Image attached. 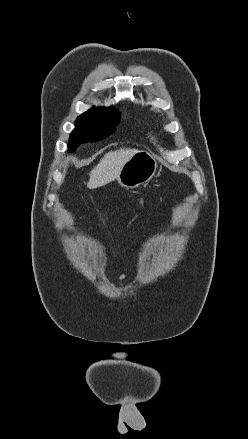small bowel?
Segmentation results:
<instances>
[{"label": "small bowel", "instance_id": "c3829d8e", "mask_svg": "<svg viewBox=\"0 0 248 439\" xmlns=\"http://www.w3.org/2000/svg\"><path fill=\"white\" fill-rule=\"evenodd\" d=\"M126 278H127V275L123 273V274H121V275L119 276L118 281H119V282H122V281H124Z\"/></svg>", "mask_w": 248, "mask_h": 439}]
</instances>
